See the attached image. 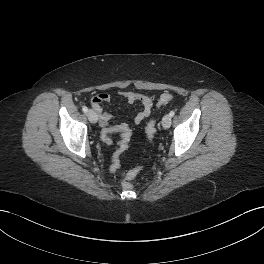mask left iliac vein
I'll use <instances>...</instances> for the list:
<instances>
[{"mask_svg": "<svg viewBox=\"0 0 264 264\" xmlns=\"http://www.w3.org/2000/svg\"><path fill=\"white\" fill-rule=\"evenodd\" d=\"M162 126L165 129H168L171 126V117L170 115H165L162 119Z\"/></svg>", "mask_w": 264, "mask_h": 264, "instance_id": "left-iliac-vein-1", "label": "left iliac vein"}]
</instances>
